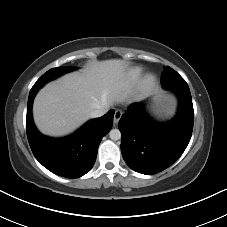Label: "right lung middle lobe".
Listing matches in <instances>:
<instances>
[{"label": "right lung middle lobe", "instance_id": "right-lung-middle-lobe-1", "mask_svg": "<svg viewBox=\"0 0 227 227\" xmlns=\"http://www.w3.org/2000/svg\"><path fill=\"white\" fill-rule=\"evenodd\" d=\"M76 69V67H58V68H52L48 70L45 74H43L37 82L34 84L31 90L40 89L42 86H44L48 81L66 73L69 71H72Z\"/></svg>", "mask_w": 227, "mask_h": 227}]
</instances>
